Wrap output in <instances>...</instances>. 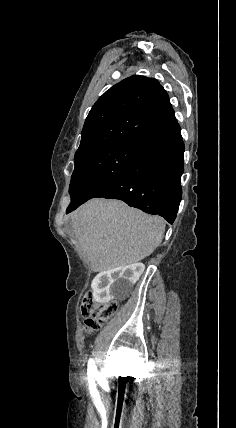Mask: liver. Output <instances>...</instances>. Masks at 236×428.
<instances>
[{
  "mask_svg": "<svg viewBox=\"0 0 236 428\" xmlns=\"http://www.w3.org/2000/svg\"><path fill=\"white\" fill-rule=\"evenodd\" d=\"M74 234L93 272L121 268L153 254L161 244L165 222L129 208L120 200H89L72 212Z\"/></svg>",
  "mask_w": 236,
  "mask_h": 428,
  "instance_id": "1",
  "label": "liver"
}]
</instances>
